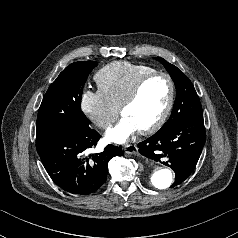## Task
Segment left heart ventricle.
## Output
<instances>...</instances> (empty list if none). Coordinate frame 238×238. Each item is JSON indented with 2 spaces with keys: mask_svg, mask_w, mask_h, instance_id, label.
Here are the masks:
<instances>
[{
  "mask_svg": "<svg viewBox=\"0 0 238 238\" xmlns=\"http://www.w3.org/2000/svg\"><path fill=\"white\" fill-rule=\"evenodd\" d=\"M169 97V86L164 78L149 81L138 99L127 107L123 115L129 117L139 129L153 124L163 112Z\"/></svg>",
  "mask_w": 238,
  "mask_h": 238,
  "instance_id": "left-heart-ventricle-1",
  "label": "left heart ventricle"
}]
</instances>
